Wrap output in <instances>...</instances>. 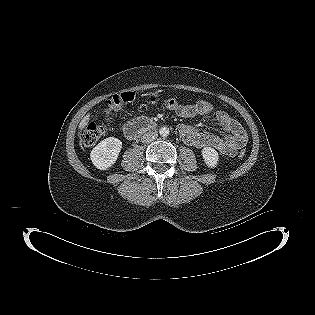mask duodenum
Instances as JSON below:
<instances>
[{
  "label": "duodenum",
  "instance_id": "obj_1",
  "mask_svg": "<svg viewBox=\"0 0 315 315\" xmlns=\"http://www.w3.org/2000/svg\"><path fill=\"white\" fill-rule=\"evenodd\" d=\"M155 127L154 123L147 118H139L127 123L123 127V135L129 140H135L142 133Z\"/></svg>",
  "mask_w": 315,
  "mask_h": 315
}]
</instances>
